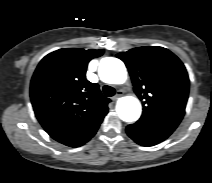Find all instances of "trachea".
<instances>
[{
    "instance_id": "obj_1",
    "label": "trachea",
    "mask_w": 212,
    "mask_h": 183,
    "mask_svg": "<svg viewBox=\"0 0 212 183\" xmlns=\"http://www.w3.org/2000/svg\"><path fill=\"white\" fill-rule=\"evenodd\" d=\"M103 92L107 97H112L115 95V89L109 85L103 87Z\"/></svg>"
}]
</instances>
